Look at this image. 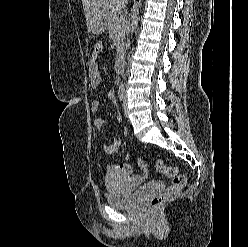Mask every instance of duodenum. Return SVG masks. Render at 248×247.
Segmentation results:
<instances>
[{
  "instance_id": "obj_1",
  "label": "duodenum",
  "mask_w": 248,
  "mask_h": 247,
  "mask_svg": "<svg viewBox=\"0 0 248 247\" xmlns=\"http://www.w3.org/2000/svg\"><path fill=\"white\" fill-rule=\"evenodd\" d=\"M116 70L121 73L124 71V66H125V57L122 53H120L117 58H116Z\"/></svg>"
}]
</instances>
